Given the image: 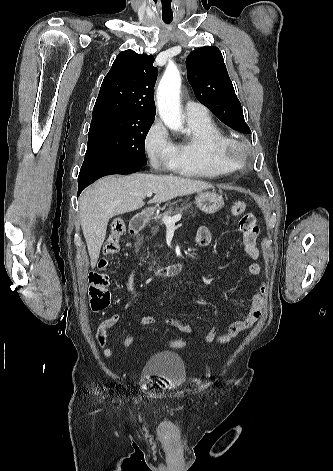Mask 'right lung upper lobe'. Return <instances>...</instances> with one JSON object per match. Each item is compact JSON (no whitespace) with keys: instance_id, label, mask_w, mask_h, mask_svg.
<instances>
[{"instance_id":"cb5924a9","label":"right lung upper lobe","mask_w":333,"mask_h":471,"mask_svg":"<svg viewBox=\"0 0 333 471\" xmlns=\"http://www.w3.org/2000/svg\"><path fill=\"white\" fill-rule=\"evenodd\" d=\"M154 60L152 55L133 50L119 53L102 82L92 117L120 114L154 119Z\"/></svg>"}]
</instances>
